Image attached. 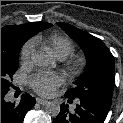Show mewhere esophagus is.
<instances>
[{
    "label": "esophagus",
    "instance_id": "34e87169",
    "mask_svg": "<svg viewBox=\"0 0 123 123\" xmlns=\"http://www.w3.org/2000/svg\"><path fill=\"white\" fill-rule=\"evenodd\" d=\"M37 103L41 104V105H45L48 103L47 100L41 99V98H37Z\"/></svg>",
    "mask_w": 123,
    "mask_h": 123
}]
</instances>
